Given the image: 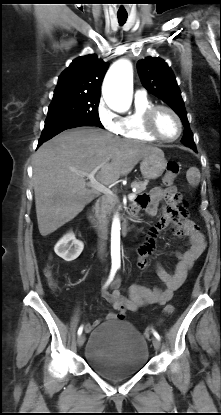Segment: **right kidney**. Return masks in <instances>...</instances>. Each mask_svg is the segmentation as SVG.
Instances as JSON below:
<instances>
[{
	"instance_id": "right-kidney-1",
	"label": "right kidney",
	"mask_w": 221,
	"mask_h": 415,
	"mask_svg": "<svg viewBox=\"0 0 221 415\" xmlns=\"http://www.w3.org/2000/svg\"><path fill=\"white\" fill-rule=\"evenodd\" d=\"M84 244L77 240L72 232L64 235L54 247L55 253L67 262L79 257L83 251Z\"/></svg>"
}]
</instances>
